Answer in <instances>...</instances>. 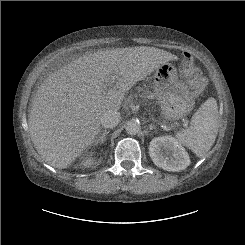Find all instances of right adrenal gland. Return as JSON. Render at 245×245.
<instances>
[{
    "mask_svg": "<svg viewBox=\"0 0 245 245\" xmlns=\"http://www.w3.org/2000/svg\"><path fill=\"white\" fill-rule=\"evenodd\" d=\"M109 133V131L108 130H102L101 132H100V134L98 135V137H97V139L95 140V142H94V145L96 146V145H98L99 143L100 144H103L104 142H105V140H106V135Z\"/></svg>",
    "mask_w": 245,
    "mask_h": 245,
    "instance_id": "right-adrenal-gland-1",
    "label": "right adrenal gland"
}]
</instances>
